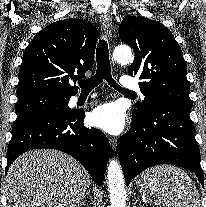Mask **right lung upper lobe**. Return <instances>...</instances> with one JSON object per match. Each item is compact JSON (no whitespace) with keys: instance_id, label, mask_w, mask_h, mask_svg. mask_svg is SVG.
I'll use <instances>...</instances> for the list:
<instances>
[{"instance_id":"right-lung-upper-lobe-1","label":"right lung upper lobe","mask_w":206,"mask_h":207,"mask_svg":"<svg viewBox=\"0 0 206 207\" xmlns=\"http://www.w3.org/2000/svg\"><path fill=\"white\" fill-rule=\"evenodd\" d=\"M97 30L81 19L46 26L31 40L19 70L18 98L35 94L75 95L76 80L94 62Z\"/></svg>"}]
</instances>
